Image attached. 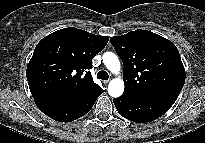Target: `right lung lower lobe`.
Listing matches in <instances>:
<instances>
[{"label": "right lung lower lobe", "mask_w": 205, "mask_h": 143, "mask_svg": "<svg viewBox=\"0 0 205 143\" xmlns=\"http://www.w3.org/2000/svg\"><path fill=\"white\" fill-rule=\"evenodd\" d=\"M102 92L103 89L100 87L80 100L69 104H53L47 102H36V104L38 108L50 118L59 122H71L87 114Z\"/></svg>", "instance_id": "1"}]
</instances>
